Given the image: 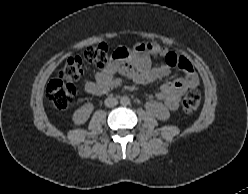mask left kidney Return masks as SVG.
<instances>
[{
  "instance_id": "obj_1",
  "label": "left kidney",
  "mask_w": 248,
  "mask_h": 194,
  "mask_svg": "<svg viewBox=\"0 0 248 194\" xmlns=\"http://www.w3.org/2000/svg\"><path fill=\"white\" fill-rule=\"evenodd\" d=\"M160 106V109L162 110L163 113H159V112H155L154 115L158 118V119H166V115L165 114H168V111L165 107H163L161 104H159Z\"/></svg>"
}]
</instances>
